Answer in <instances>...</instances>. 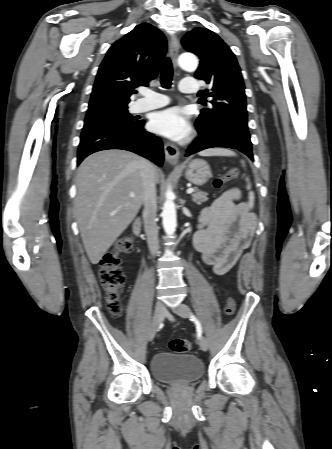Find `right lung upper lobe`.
Returning <instances> with one entry per match:
<instances>
[{
  "instance_id": "cb5924a9",
  "label": "right lung upper lobe",
  "mask_w": 332,
  "mask_h": 449,
  "mask_svg": "<svg viewBox=\"0 0 332 449\" xmlns=\"http://www.w3.org/2000/svg\"><path fill=\"white\" fill-rule=\"evenodd\" d=\"M166 50L165 36L148 23L116 41L99 67L87 112L126 108L135 88L157 76Z\"/></svg>"
}]
</instances>
